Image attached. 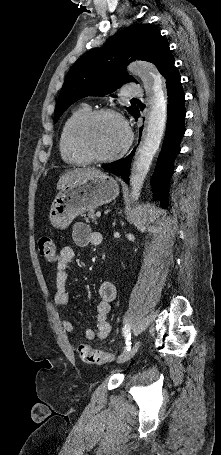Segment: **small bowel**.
Segmentation results:
<instances>
[{
    "label": "small bowel",
    "instance_id": "c3829d8e",
    "mask_svg": "<svg viewBox=\"0 0 221 455\" xmlns=\"http://www.w3.org/2000/svg\"><path fill=\"white\" fill-rule=\"evenodd\" d=\"M74 243L78 247L86 245L100 246L103 242V237L99 232L91 230L84 224H77L72 232ZM75 258V250L71 246H65L59 253V259L56 267L55 278V294L54 302L56 305H66L69 303L70 295L67 291V280L69 265ZM100 301L96 306V329H86L84 337L88 341L94 339L104 340L111 332V324L108 321V315L111 310V303L116 298V287L110 281H103L99 286ZM61 325L63 329L72 333L74 326L69 320H62Z\"/></svg>",
    "mask_w": 221,
    "mask_h": 455
}]
</instances>
